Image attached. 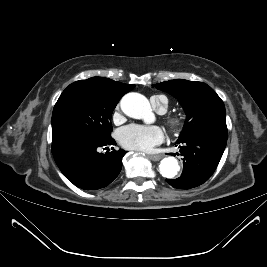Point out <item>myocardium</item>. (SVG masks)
<instances>
[{"label": "myocardium", "mask_w": 267, "mask_h": 267, "mask_svg": "<svg viewBox=\"0 0 267 267\" xmlns=\"http://www.w3.org/2000/svg\"><path fill=\"white\" fill-rule=\"evenodd\" d=\"M167 127L172 132H179L184 127V120L182 117L177 115L168 116L165 119Z\"/></svg>", "instance_id": "obj_1"}]
</instances>
